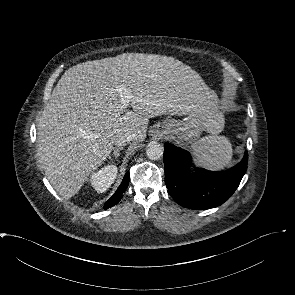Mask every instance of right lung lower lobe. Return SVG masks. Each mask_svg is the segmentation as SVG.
<instances>
[{"instance_id": "obj_1", "label": "right lung lower lobe", "mask_w": 295, "mask_h": 295, "mask_svg": "<svg viewBox=\"0 0 295 295\" xmlns=\"http://www.w3.org/2000/svg\"><path fill=\"white\" fill-rule=\"evenodd\" d=\"M129 173L127 172L123 178L121 185L118 187L114 195L105 203L104 209H108L117 204L123 197V193L126 191L129 184Z\"/></svg>"}]
</instances>
